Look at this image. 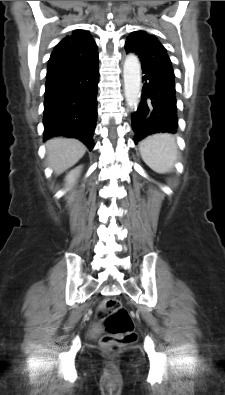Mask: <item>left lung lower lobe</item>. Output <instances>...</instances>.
<instances>
[{
  "instance_id": "left-lung-lower-lobe-1",
  "label": "left lung lower lobe",
  "mask_w": 225,
  "mask_h": 395,
  "mask_svg": "<svg viewBox=\"0 0 225 395\" xmlns=\"http://www.w3.org/2000/svg\"><path fill=\"white\" fill-rule=\"evenodd\" d=\"M141 102L132 114L135 144L155 133L177 131L175 75L172 68L162 65H142Z\"/></svg>"
}]
</instances>
